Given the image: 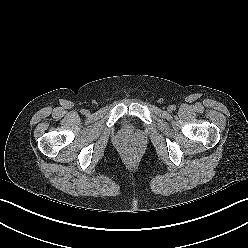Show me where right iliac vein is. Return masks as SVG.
Segmentation results:
<instances>
[{"label": "right iliac vein", "mask_w": 248, "mask_h": 248, "mask_svg": "<svg viewBox=\"0 0 248 248\" xmlns=\"http://www.w3.org/2000/svg\"><path fill=\"white\" fill-rule=\"evenodd\" d=\"M87 113H88V111L86 110V111H85V114H87Z\"/></svg>", "instance_id": "63e3f726"}]
</instances>
